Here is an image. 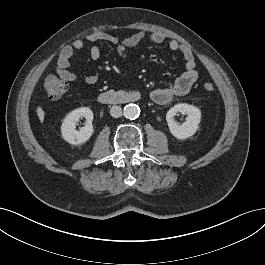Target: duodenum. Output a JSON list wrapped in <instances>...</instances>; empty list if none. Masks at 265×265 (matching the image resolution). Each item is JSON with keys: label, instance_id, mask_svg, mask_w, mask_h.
Returning <instances> with one entry per match:
<instances>
[{"label": "duodenum", "instance_id": "410a0bca", "mask_svg": "<svg viewBox=\"0 0 265 265\" xmlns=\"http://www.w3.org/2000/svg\"><path fill=\"white\" fill-rule=\"evenodd\" d=\"M139 95L135 92L124 93L120 91H106L98 95V101L102 104H125L137 100Z\"/></svg>", "mask_w": 265, "mask_h": 265}]
</instances>
